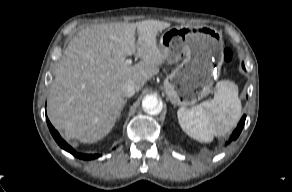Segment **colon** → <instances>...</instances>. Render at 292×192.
I'll list each match as a JSON object with an SVG mask.
<instances>
[{
    "label": "colon",
    "instance_id": "colon-1",
    "mask_svg": "<svg viewBox=\"0 0 292 192\" xmlns=\"http://www.w3.org/2000/svg\"><path fill=\"white\" fill-rule=\"evenodd\" d=\"M223 60L230 63L233 60V52L230 48H225L223 51Z\"/></svg>",
    "mask_w": 292,
    "mask_h": 192
}]
</instances>
